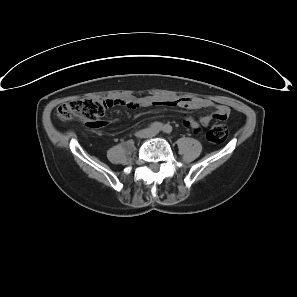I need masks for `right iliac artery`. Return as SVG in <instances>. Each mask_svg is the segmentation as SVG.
Segmentation results:
<instances>
[{
	"label": "right iliac artery",
	"instance_id": "obj_1",
	"mask_svg": "<svg viewBox=\"0 0 297 297\" xmlns=\"http://www.w3.org/2000/svg\"><path fill=\"white\" fill-rule=\"evenodd\" d=\"M154 129H157V130H162L164 127H163V124L160 123V122H154L152 125H151Z\"/></svg>",
	"mask_w": 297,
	"mask_h": 297
}]
</instances>
